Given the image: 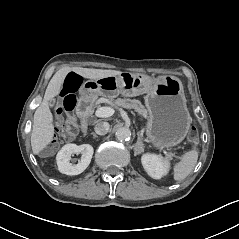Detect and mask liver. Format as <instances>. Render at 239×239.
<instances>
[{"label":"liver","mask_w":239,"mask_h":239,"mask_svg":"<svg viewBox=\"0 0 239 239\" xmlns=\"http://www.w3.org/2000/svg\"><path fill=\"white\" fill-rule=\"evenodd\" d=\"M70 72H74L85 79L92 80L117 76L122 73L121 70L114 69H94L69 66L62 67L57 70L50 79L45 90L43 100L33 116L31 148L34 155H38L41 151H43L55 137V120L49 109L48 101L60 93L63 88L65 78Z\"/></svg>","instance_id":"1"}]
</instances>
